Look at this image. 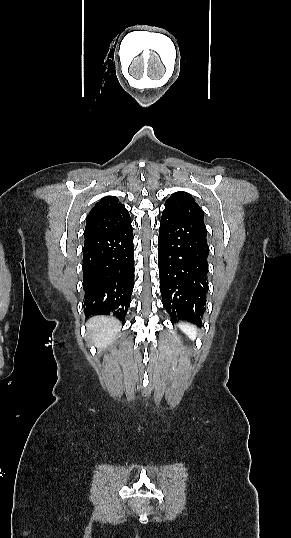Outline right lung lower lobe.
<instances>
[{
  "label": "right lung lower lobe",
  "mask_w": 291,
  "mask_h": 538,
  "mask_svg": "<svg viewBox=\"0 0 291 538\" xmlns=\"http://www.w3.org/2000/svg\"><path fill=\"white\" fill-rule=\"evenodd\" d=\"M83 289L86 317L125 318L134 287V250L131 220L114 230L85 238Z\"/></svg>",
  "instance_id": "1"
}]
</instances>
